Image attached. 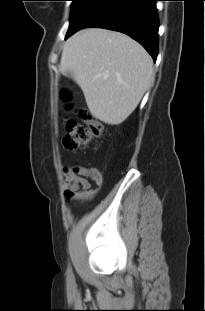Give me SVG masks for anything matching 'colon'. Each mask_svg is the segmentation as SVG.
Segmentation results:
<instances>
[{
	"instance_id": "5ec220e1",
	"label": "colon",
	"mask_w": 205,
	"mask_h": 311,
	"mask_svg": "<svg viewBox=\"0 0 205 311\" xmlns=\"http://www.w3.org/2000/svg\"><path fill=\"white\" fill-rule=\"evenodd\" d=\"M63 99L69 101L71 94L64 91ZM78 120L66 118L64 120L65 135L63 137V146L68 150H81L85 148L92 140L98 139L104 134L103 124L95 119L87 110L75 108Z\"/></svg>"
}]
</instances>
